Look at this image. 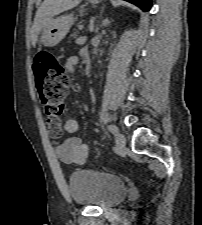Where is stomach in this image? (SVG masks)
<instances>
[{"mask_svg": "<svg viewBox=\"0 0 202 225\" xmlns=\"http://www.w3.org/2000/svg\"><path fill=\"white\" fill-rule=\"evenodd\" d=\"M89 1L92 4H98L101 0ZM74 21L73 15H56L42 30V44L46 47L56 46L65 38Z\"/></svg>", "mask_w": 202, "mask_h": 225, "instance_id": "1", "label": "stomach"}]
</instances>
